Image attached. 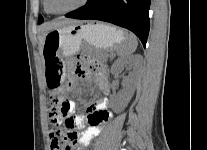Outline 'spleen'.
Returning <instances> with one entry per match:
<instances>
[{
	"instance_id": "spleen-1",
	"label": "spleen",
	"mask_w": 207,
	"mask_h": 150,
	"mask_svg": "<svg viewBox=\"0 0 207 150\" xmlns=\"http://www.w3.org/2000/svg\"><path fill=\"white\" fill-rule=\"evenodd\" d=\"M138 45L137 38L133 34H126V41L118 47L117 54L120 57H128L135 52Z\"/></svg>"
}]
</instances>
